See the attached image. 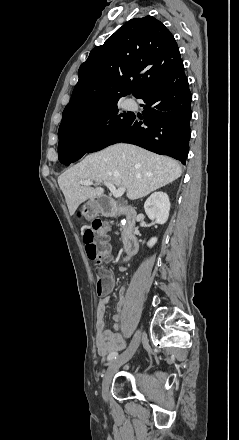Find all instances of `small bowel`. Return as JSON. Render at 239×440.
<instances>
[{"label": "small bowel", "mask_w": 239, "mask_h": 440, "mask_svg": "<svg viewBox=\"0 0 239 440\" xmlns=\"http://www.w3.org/2000/svg\"><path fill=\"white\" fill-rule=\"evenodd\" d=\"M120 269L122 271L126 270L125 266H121ZM109 276V285L106 290L100 297L96 310V346L98 353L101 356H107L112 352H117L125 347V339L123 334L121 333V316L120 313H116L113 316V329L109 330L105 327V313H106V305L108 303V297L105 295L108 294L113 288V279L111 274L108 272ZM125 287H121L120 293H124ZM123 303L119 304L118 310L121 311Z\"/></svg>", "instance_id": "obj_1"}]
</instances>
